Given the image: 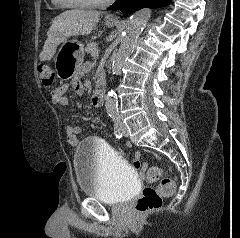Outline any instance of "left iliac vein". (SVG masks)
<instances>
[{
	"instance_id": "1",
	"label": "left iliac vein",
	"mask_w": 240,
	"mask_h": 238,
	"mask_svg": "<svg viewBox=\"0 0 240 238\" xmlns=\"http://www.w3.org/2000/svg\"><path fill=\"white\" fill-rule=\"evenodd\" d=\"M121 126H122V133L124 134V136H128L129 131H128L126 124L122 123Z\"/></svg>"
}]
</instances>
